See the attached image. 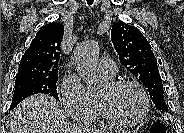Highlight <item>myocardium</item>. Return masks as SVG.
Returning a JSON list of instances; mask_svg holds the SVG:
<instances>
[{
    "label": "myocardium",
    "mask_w": 184,
    "mask_h": 133,
    "mask_svg": "<svg viewBox=\"0 0 184 133\" xmlns=\"http://www.w3.org/2000/svg\"><path fill=\"white\" fill-rule=\"evenodd\" d=\"M108 84L113 89H120V88H124V87L135 88L140 93V95L142 97L143 108H142L141 113L137 117L132 118V119H121V118H117V117L112 116L106 110V108L104 107L102 102L98 99L99 109H100V112H101L103 118L107 122H109L113 125H117V126H134V125L141 123L146 118V116L148 115V113L150 111V99H149V96H148L146 90L144 89V87L137 81L126 80V79L111 81Z\"/></svg>",
    "instance_id": "myocardium-1"
}]
</instances>
